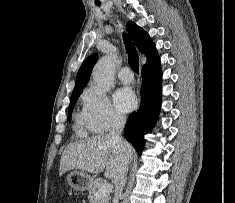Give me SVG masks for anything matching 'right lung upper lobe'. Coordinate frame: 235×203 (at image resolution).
Listing matches in <instances>:
<instances>
[{
	"mask_svg": "<svg viewBox=\"0 0 235 203\" xmlns=\"http://www.w3.org/2000/svg\"><path fill=\"white\" fill-rule=\"evenodd\" d=\"M127 32L130 35L136 47L139 49V51L146 55L147 62L151 61L152 59L158 56L153 41L151 40L148 33L144 31L141 27H139L134 22L129 21L127 24ZM97 59L98 56L96 54H93L89 56L82 63L77 74L76 85L74 87L72 94L82 92V89L85 87L90 78L91 71Z\"/></svg>",
	"mask_w": 235,
	"mask_h": 203,
	"instance_id": "1",
	"label": "right lung upper lobe"
}]
</instances>
